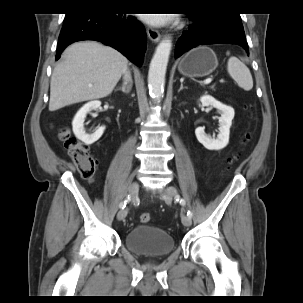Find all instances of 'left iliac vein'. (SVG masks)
<instances>
[{"mask_svg": "<svg viewBox=\"0 0 303 303\" xmlns=\"http://www.w3.org/2000/svg\"><path fill=\"white\" fill-rule=\"evenodd\" d=\"M164 196H165V201L167 204H170L171 202V199L172 197H176L177 196V190L175 187H167L165 190H164ZM182 224L186 227H189L191 226L192 224V220L189 216L185 215V216H182Z\"/></svg>", "mask_w": 303, "mask_h": 303, "instance_id": "4c4485c4", "label": "left iliac vein"}]
</instances>
